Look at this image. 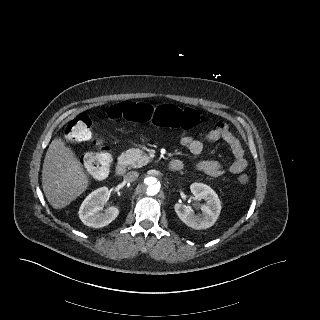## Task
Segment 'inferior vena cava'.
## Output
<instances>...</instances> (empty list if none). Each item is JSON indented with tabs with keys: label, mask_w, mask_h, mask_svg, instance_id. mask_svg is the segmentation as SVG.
I'll use <instances>...</instances> for the list:
<instances>
[{
	"label": "inferior vena cava",
	"mask_w": 320,
	"mask_h": 320,
	"mask_svg": "<svg viewBox=\"0 0 320 320\" xmlns=\"http://www.w3.org/2000/svg\"><path fill=\"white\" fill-rule=\"evenodd\" d=\"M139 176V173L137 171H130L124 176V181L126 182H132L135 181Z\"/></svg>",
	"instance_id": "1"
}]
</instances>
